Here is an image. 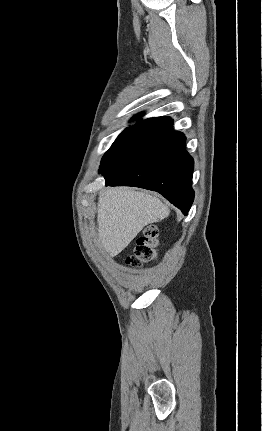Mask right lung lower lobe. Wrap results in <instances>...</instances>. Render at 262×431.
<instances>
[{
    "instance_id": "1",
    "label": "right lung lower lobe",
    "mask_w": 262,
    "mask_h": 431,
    "mask_svg": "<svg viewBox=\"0 0 262 431\" xmlns=\"http://www.w3.org/2000/svg\"><path fill=\"white\" fill-rule=\"evenodd\" d=\"M170 117L141 121L124 132L102 158L106 186L157 191L187 215L193 199L194 161L186 137L172 130Z\"/></svg>"
}]
</instances>
